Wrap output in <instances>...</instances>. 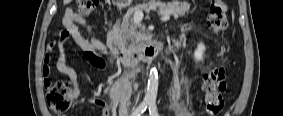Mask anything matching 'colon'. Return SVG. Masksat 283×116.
<instances>
[{"label":"colon","instance_id":"1","mask_svg":"<svg viewBox=\"0 0 283 116\" xmlns=\"http://www.w3.org/2000/svg\"><path fill=\"white\" fill-rule=\"evenodd\" d=\"M97 0H79L78 12L83 15L92 13L97 7ZM227 7L223 0H213L210 4L208 23L217 37V45L224 49L227 40L222 33L228 26ZM228 60L221 57L219 63L207 68L203 76L202 89L205 93L206 111L209 115H218L224 107L223 92L226 89V80L228 77L226 66ZM47 87L46 101L52 111L55 113H65L73 105L75 94L73 89L65 82L45 81Z\"/></svg>","mask_w":283,"mask_h":116}]
</instances>
